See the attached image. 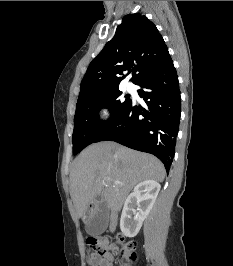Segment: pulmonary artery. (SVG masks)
Wrapping results in <instances>:
<instances>
[{
    "mask_svg": "<svg viewBox=\"0 0 233 266\" xmlns=\"http://www.w3.org/2000/svg\"><path fill=\"white\" fill-rule=\"evenodd\" d=\"M126 88H127L128 91H132L134 89V86H133L132 83H127L126 84Z\"/></svg>",
    "mask_w": 233,
    "mask_h": 266,
    "instance_id": "e3ab8cb5",
    "label": "pulmonary artery"
}]
</instances>
